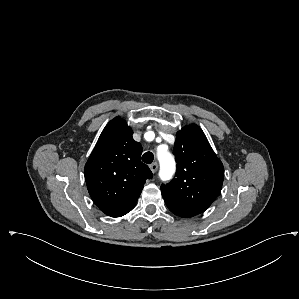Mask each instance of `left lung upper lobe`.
<instances>
[{
    "label": "left lung upper lobe",
    "instance_id": "1",
    "mask_svg": "<svg viewBox=\"0 0 299 299\" xmlns=\"http://www.w3.org/2000/svg\"><path fill=\"white\" fill-rule=\"evenodd\" d=\"M173 153L178 163L176 178L162 184L164 201L193 215L200 214L221 190L223 164L201 128L195 124L177 132Z\"/></svg>",
    "mask_w": 299,
    "mask_h": 299
}]
</instances>
